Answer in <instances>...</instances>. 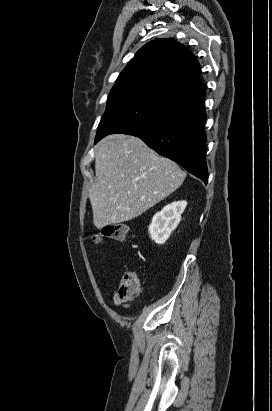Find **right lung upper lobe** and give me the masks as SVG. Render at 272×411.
I'll return each mask as SVG.
<instances>
[{"mask_svg": "<svg viewBox=\"0 0 272 411\" xmlns=\"http://www.w3.org/2000/svg\"><path fill=\"white\" fill-rule=\"evenodd\" d=\"M199 73L200 64L182 44L157 39L137 51L111 92L147 91L182 107L205 98Z\"/></svg>", "mask_w": 272, "mask_h": 411, "instance_id": "obj_1", "label": "right lung upper lobe"}]
</instances>
